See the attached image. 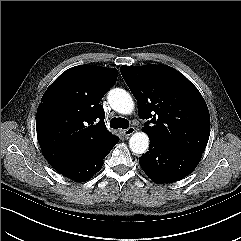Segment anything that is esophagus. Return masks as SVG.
<instances>
[{
	"instance_id": "1",
	"label": "esophagus",
	"mask_w": 241,
	"mask_h": 241,
	"mask_svg": "<svg viewBox=\"0 0 241 241\" xmlns=\"http://www.w3.org/2000/svg\"><path fill=\"white\" fill-rule=\"evenodd\" d=\"M135 131H136V130H135L134 127H129L128 129H125L123 132H124V135H125V136H130V135H132Z\"/></svg>"
}]
</instances>
